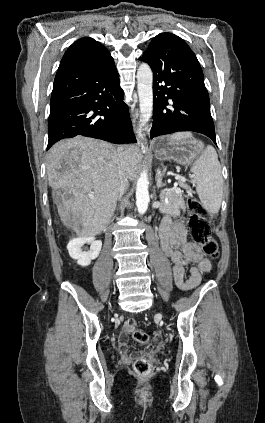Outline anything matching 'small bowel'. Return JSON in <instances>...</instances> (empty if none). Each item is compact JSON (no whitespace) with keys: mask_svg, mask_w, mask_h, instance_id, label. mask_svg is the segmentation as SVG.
I'll list each match as a JSON object with an SVG mask.
<instances>
[{"mask_svg":"<svg viewBox=\"0 0 265 423\" xmlns=\"http://www.w3.org/2000/svg\"><path fill=\"white\" fill-rule=\"evenodd\" d=\"M161 247L172 263L175 284L181 290H191L198 286L202 275L211 269L210 261L203 256L198 246L188 241L187 232L182 223H174L165 217L158 230ZM195 263L190 275L185 277V265ZM118 348L122 357L129 360L133 357L128 349L127 333L122 331L118 338Z\"/></svg>","mask_w":265,"mask_h":423,"instance_id":"1","label":"small bowel"}]
</instances>
